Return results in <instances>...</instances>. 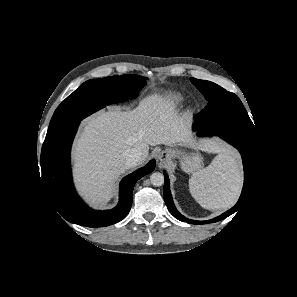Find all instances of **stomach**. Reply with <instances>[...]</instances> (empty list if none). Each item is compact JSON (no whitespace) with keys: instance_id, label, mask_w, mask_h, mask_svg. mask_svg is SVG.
<instances>
[{"instance_id":"stomach-1","label":"stomach","mask_w":297,"mask_h":297,"mask_svg":"<svg viewBox=\"0 0 297 297\" xmlns=\"http://www.w3.org/2000/svg\"><path fill=\"white\" fill-rule=\"evenodd\" d=\"M170 159H179L181 168L186 173H195L203 167V157L198 152H185L179 149L169 150Z\"/></svg>"}]
</instances>
